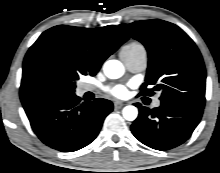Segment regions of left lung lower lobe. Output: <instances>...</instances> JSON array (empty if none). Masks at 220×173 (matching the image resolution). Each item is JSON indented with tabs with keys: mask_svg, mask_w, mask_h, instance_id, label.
Returning a JSON list of instances; mask_svg holds the SVG:
<instances>
[{
	"mask_svg": "<svg viewBox=\"0 0 220 173\" xmlns=\"http://www.w3.org/2000/svg\"><path fill=\"white\" fill-rule=\"evenodd\" d=\"M138 118L131 131L143 144L157 150L172 149L185 142L202 117L203 108L165 100L158 108L148 109L139 103Z\"/></svg>",
	"mask_w": 220,
	"mask_h": 173,
	"instance_id": "1",
	"label": "left lung lower lobe"
}]
</instances>
